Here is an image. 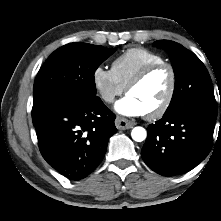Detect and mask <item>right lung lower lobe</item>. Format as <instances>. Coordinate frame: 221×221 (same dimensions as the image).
I'll return each mask as SVG.
<instances>
[{
    "label": "right lung lower lobe",
    "mask_w": 221,
    "mask_h": 221,
    "mask_svg": "<svg viewBox=\"0 0 221 221\" xmlns=\"http://www.w3.org/2000/svg\"><path fill=\"white\" fill-rule=\"evenodd\" d=\"M114 120L99 97L61 102L34 122L40 152L61 175L83 179L104 158L108 140L117 132Z\"/></svg>",
    "instance_id": "98d812e1"
}]
</instances>
